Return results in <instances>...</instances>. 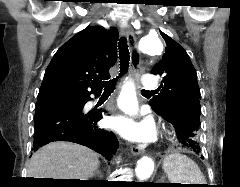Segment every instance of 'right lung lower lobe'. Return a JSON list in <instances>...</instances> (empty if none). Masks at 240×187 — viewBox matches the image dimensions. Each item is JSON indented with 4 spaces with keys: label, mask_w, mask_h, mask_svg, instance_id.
Listing matches in <instances>:
<instances>
[{
    "label": "right lung lower lobe",
    "mask_w": 240,
    "mask_h": 187,
    "mask_svg": "<svg viewBox=\"0 0 240 187\" xmlns=\"http://www.w3.org/2000/svg\"><path fill=\"white\" fill-rule=\"evenodd\" d=\"M100 92L101 90L90 94L98 96ZM90 94L82 98L83 104L77 108L51 104L36 111L33 149L54 141H70L87 146L110 160L118 147V141L112 132L97 126V121L106 110L83 112L84 105L91 100Z\"/></svg>",
    "instance_id": "right-lung-lower-lobe-1"
}]
</instances>
